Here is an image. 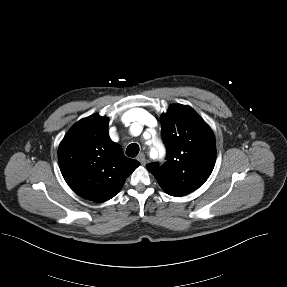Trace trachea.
I'll use <instances>...</instances> for the list:
<instances>
[{
    "label": "trachea",
    "instance_id": "trachea-1",
    "mask_svg": "<svg viewBox=\"0 0 287 287\" xmlns=\"http://www.w3.org/2000/svg\"><path fill=\"white\" fill-rule=\"evenodd\" d=\"M139 153V146L136 143L130 144L126 149V155L129 157H136Z\"/></svg>",
    "mask_w": 287,
    "mask_h": 287
}]
</instances>
